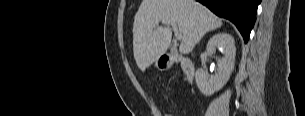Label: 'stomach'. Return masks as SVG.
<instances>
[{"label":"stomach","mask_w":305,"mask_h":116,"mask_svg":"<svg viewBox=\"0 0 305 116\" xmlns=\"http://www.w3.org/2000/svg\"><path fill=\"white\" fill-rule=\"evenodd\" d=\"M156 66H157L158 68H160V66H159V64H158V63H156Z\"/></svg>","instance_id":"0dacf381"}]
</instances>
